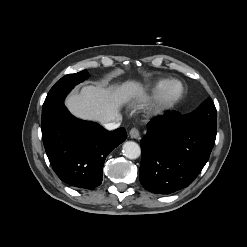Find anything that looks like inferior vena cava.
Returning a JSON list of instances; mask_svg holds the SVG:
<instances>
[{"mask_svg": "<svg viewBox=\"0 0 247 247\" xmlns=\"http://www.w3.org/2000/svg\"><path fill=\"white\" fill-rule=\"evenodd\" d=\"M122 116L118 115L112 122L104 123V126L108 130H114L119 127Z\"/></svg>", "mask_w": 247, "mask_h": 247, "instance_id": "602c4592", "label": "inferior vena cava"}]
</instances>
